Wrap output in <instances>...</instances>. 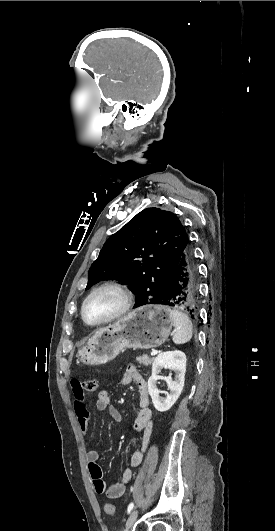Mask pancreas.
<instances>
[{"mask_svg":"<svg viewBox=\"0 0 275 531\" xmlns=\"http://www.w3.org/2000/svg\"><path fill=\"white\" fill-rule=\"evenodd\" d=\"M136 361H138L139 365H145V367H149V365L153 363L154 357H148V355H141V357H137Z\"/></svg>","mask_w":275,"mask_h":531,"instance_id":"obj_1","label":"pancreas"}]
</instances>
